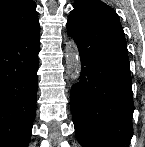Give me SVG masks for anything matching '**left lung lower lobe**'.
<instances>
[{"mask_svg": "<svg viewBox=\"0 0 145 147\" xmlns=\"http://www.w3.org/2000/svg\"><path fill=\"white\" fill-rule=\"evenodd\" d=\"M81 57L71 111L82 147H128L134 103L127 44L116 12L99 0H77L67 21Z\"/></svg>", "mask_w": 145, "mask_h": 147, "instance_id": "1", "label": "left lung lower lobe"}]
</instances>
